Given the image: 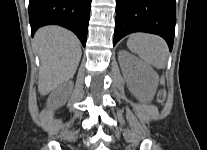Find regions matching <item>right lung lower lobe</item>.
Masks as SVG:
<instances>
[{"instance_id": "obj_1", "label": "right lung lower lobe", "mask_w": 207, "mask_h": 150, "mask_svg": "<svg viewBox=\"0 0 207 150\" xmlns=\"http://www.w3.org/2000/svg\"><path fill=\"white\" fill-rule=\"evenodd\" d=\"M91 0H29L31 34L44 25H60L73 31L85 47Z\"/></svg>"}]
</instances>
